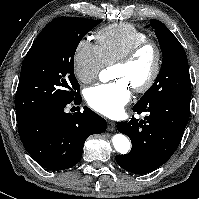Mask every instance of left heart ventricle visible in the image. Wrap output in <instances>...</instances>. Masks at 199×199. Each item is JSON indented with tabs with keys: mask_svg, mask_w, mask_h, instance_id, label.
I'll return each mask as SVG.
<instances>
[{
	"mask_svg": "<svg viewBox=\"0 0 199 199\" xmlns=\"http://www.w3.org/2000/svg\"><path fill=\"white\" fill-rule=\"evenodd\" d=\"M154 63V53L147 49L127 66H113L111 76L114 79H123L129 86L143 84L150 75Z\"/></svg>",
	"mask_w": 199,
	"mask_h": 199,
	"instance_id": "left-heart-ventricle-1",
	"label": "left heart ventricle"
}]
</instances>
